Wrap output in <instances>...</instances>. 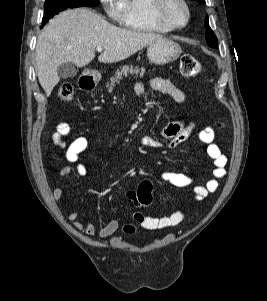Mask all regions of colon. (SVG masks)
<instances>
[{
  "label": "colon",
  "mask_w": 267,
  "mask_h": 301,
  "mask_svg": "<svg viewBox=\"0 0 267 301\" xmlns=\"http://www.w3.org/2000/svg\"><path fill=\"white\" fill-rule=\"evenodd\" d=\"M201 71V64L192 55H183L180 62V72L186 78H192ZM74 96V89L71 84L65 83L58 90V97L61 101L68 102ZM221 126V124H219ZM136 200L140 206H147L152 201V184L150 181H142L136 191Z\"/></svg>",
  "instance_id": "5ec220e1"
}]
</instances>
